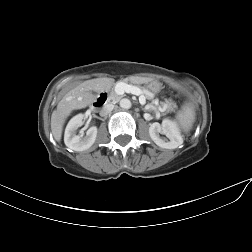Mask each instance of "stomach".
<instances>
[{
	"label": "stomach",
	"instance_id": "0dacf381",
	"mask_svg": "<svg viewBox=\"0 0 252 252\" xmlns=\"http://www.w3.org/2000/svg\"><path fill=\"white\" fill-rule=\"evenodd\" d=\"M146 87L152 92H159L162 88V84L157 80H152L146 83Z\"/></svg>",
	"mask_w": 252,
	"mask_h": 252
}]
</instances>
